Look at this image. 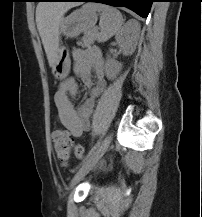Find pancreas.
<instances>
[{
	"label": "pancreas",
	"instance_id": "obj_1",
	"mask_svg": "<svg viewBox=\"0 0 202 217\" xmlns=\"http://www.w3.org/2000/svg\"><path fill=\"white\" fill-rule=\"evenodd\" d=\"M97 38V33L96 31H89L86 32L82 38V41L80 42L82 47H89L94 43V41Z\"/></svg>",
	"mask_w": 202,
	"mask_h": 217
}]
</instances>
